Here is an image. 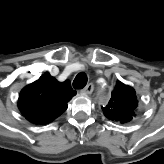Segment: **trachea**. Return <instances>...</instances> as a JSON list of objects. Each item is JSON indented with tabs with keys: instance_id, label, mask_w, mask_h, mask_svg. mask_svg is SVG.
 I'll return each instance as SVG.
<instances>
[{
	"instance_id": "obj_1",
	"label": "trachea",
	"mask_w": 164,
	"mask_h": 164,
	"mask_svg": "<svg viewBox=\"0 0 164 164\" xmlns=\"http://www.w3.org/2000/svg\"><path fill=\"white\" fill-rule=\"evenodd\" d=\"M87 84V75L84 72H81L76 75L74 81H73V87L75 89H82Z\"/></svg>"
}]
</instances>
